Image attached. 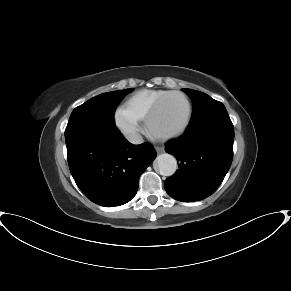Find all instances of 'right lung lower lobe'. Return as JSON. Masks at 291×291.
Here are the masks:
<instances>
[{
	"label": "right lung lower lobe",
	"instance_id": "98d812e1",
	"mask_svg": "<svg viewBox=\"0 0 291 291\" xmlns=\"http://www.w3.org/2000/svg\"><path fill=\"white\" fill-rule=\"evenodd\" d=\"M70 172L85 196L104 206L129 202L140 175L152 163V145L129 143L115 127L97 120L77 119L65 130Z\"/></svg>",
	"mask_w": 291,
	"mask_h": 291
}]
</instances>
